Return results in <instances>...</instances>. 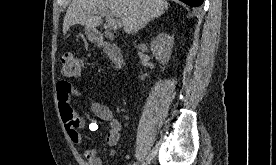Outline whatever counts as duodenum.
<instances>
[{
	"mask_svg": "<svg viewBox=\"0 0 276 165\" xmlns=\"http://www.w3.org/2000/svg\"><path fill=\"white\" fill-rule=\"evenodd\" d=\"M92 39L103 48V51L109 56L114 66L116 68H121L123 64V55L120 48L114 43L105 41L103 35L99 32L94 33Z\"/></svg>",
	"mask_w": 276,
	"mask_h": 165,
	"instance_id": "1",
	"label": "duodenum"
}]
</instances>
